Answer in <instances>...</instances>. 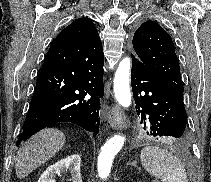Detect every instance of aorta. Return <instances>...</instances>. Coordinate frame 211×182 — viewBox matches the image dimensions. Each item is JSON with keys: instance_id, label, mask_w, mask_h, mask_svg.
<instances>
[{"instance_id": "obj_1", "label": "aorta", "mask_w": 211, "mask_h": 182, "mask_svg": "<svg viewBox=\"0 0 211 182\" xmlns=\"http://www.w3.org/2000/svg\"><path fill=\"white\" fill-rule=\"evenodd\" d=\"M130 69L131 60L126 57L122 59L118 65L114 76V93L117 102L124 108L131 105V92H130ZM125 142V137L122 135H115L103 145L101 152L98 156V174L101 179L109 177L113 159L115 155L122 149Z\"/></svg>"}]
</instances>
